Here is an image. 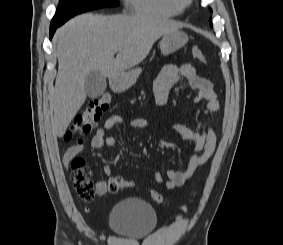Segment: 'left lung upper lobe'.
Here are the masks:
<instances>
[{
	"instance_id": "obj_1",
	"label": "left lung upper lobe",
	"mask_w": 283,
	"mask_h": 245,
	"mask_svg": "<svg viewBox=\"0 0 283 245\" xmlns=\"http://www.w3.org/2000/svg\"><path fill=\"white\" fill-rule=\"evenodd\" d=\"M210 25L212 26L211 20H210Z\"/></svg>"
}]
</instances>
